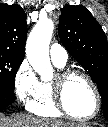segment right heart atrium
<instances>
[{"mask_svg": "<svg viewBox=\"0 0 108 127\" xmlns=\"http://www.w3.org/2000/svg\"><path fill=\"white\" fill-rule=\"evenodd\" d=\"M40 81L27 60L18 67L14 76L15 94L20 102L29 105L39 91Z\"/></svg>", "mask_w": 108, "mask_h": 127, "instance_id": "d8ad5b80", "label": "right heart atrium"}]
</instances>
